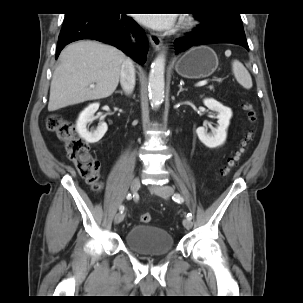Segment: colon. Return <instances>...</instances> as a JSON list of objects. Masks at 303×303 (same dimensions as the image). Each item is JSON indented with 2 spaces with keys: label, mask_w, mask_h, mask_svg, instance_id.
<instances>
[{
  "label": "colon",
  "mask_w": 303,
  "mask_h": 303,
  "mask_svg": "<svg viewBox=\"0 0 303 303\" xmlns=\"http://www.w3.org/2000/svg\"><path fill=\"white\" fill-rule=\"evenodd\" d=\"M243 109L246 111L248 119L252 125L257 121V114L250 102H244ZM48 131L56 133L64 144L67 154L76 166L80 175L93 187L95 191L101 188L99 174V161L89 152L88 145L77 137L75 128L67 123L61 116L52 115L46 123ZM254 138L253 129L248 131L242 140V148L230 159L228 164L222 169V175L228 176L239 164L244 155V150L249 142ZM151 214L148 212L140 215V222L148 223Z\"/></svg>",
  "instance_id": "5ec220e1"
}]
</instances>
